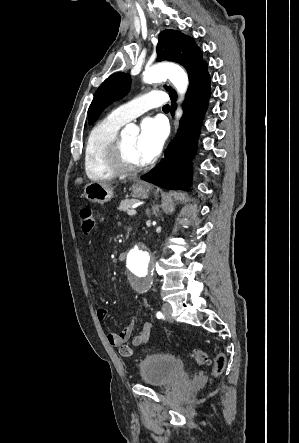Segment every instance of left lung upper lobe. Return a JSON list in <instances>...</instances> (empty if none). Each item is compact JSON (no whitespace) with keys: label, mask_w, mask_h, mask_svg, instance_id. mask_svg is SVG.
Segmentation results:
<instances>
[{"label":"left lung upper lobe","mask_w":299,"mask_h":443,"mask_svg":"<svg viewBox=\"0 0 299 443\" xmlns=\"http://www.w3.org/2000/svg\"><path fill=\"white\" fill-rule=\"evenodd\" d=\"M157 60L177 62L185 67L189 80L206 62L194 40L175 30H164L159 35L157 44ZM130 75L115 73L108 77L97 89L89 110L88 123L92 124L101 112L113 101L121 99L130 89ZM172 96L176 92L165 86Z\"/></svg>","instance_id":"obj_1"}]
</instances>
